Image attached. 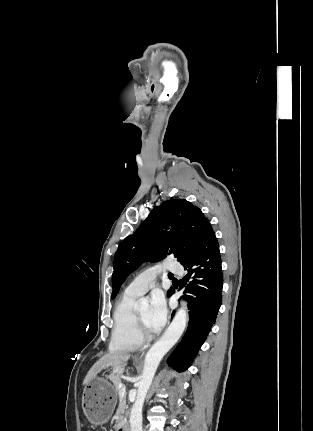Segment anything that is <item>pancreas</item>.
Instances as JSON below:
<instances>
[{"label":"pancreas","mask_w":313,"mask_h":431,"mask_svg":"<svg viewBox=\"0 0 313 431\" xmlns=\"http://www.w3.org/2000/svg\"><path fill=\"white\" fill-rule=\"evenodd\" d=\"M110 380L114 385L116 394L119 395L120 389L118 388V385L121 383V374H112L110 376ZM125 409H126V399L124 397L122 399V403L119 405L117 409V419H116L117 427L120 426L126 419L127 413Z\"/></svg>","instance_id":"pancreas-1"}]
</instances>
